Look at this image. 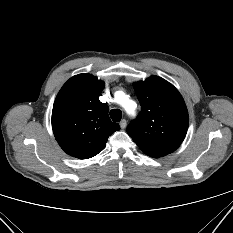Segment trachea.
<instances>
[{"label":"trachea","mask_w":233,"mask_h":233,"mask_svg":"<svg viewBox=\"0 0 233 233\" xmlns=\"http://www.w3.org/2000/svg\"><path fill=\"white\" fill-rule=\"evenodd\" d=\"M110 117L114 122H119L122 118V112L119 109H112L110 111Z\"/></svg>","instance_id":"trachea-1"}]
</instances>
